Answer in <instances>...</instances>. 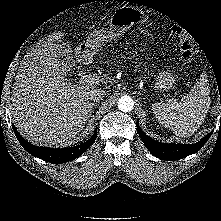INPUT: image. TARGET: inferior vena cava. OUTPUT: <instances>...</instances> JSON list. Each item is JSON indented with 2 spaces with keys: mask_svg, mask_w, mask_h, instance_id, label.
<instances>
[{
  "mask_svg": "<svg viewBox=\"0 0 221 221\" xmlns=\"http://www.w3.org/2000/svg\"><path fill=\"white\" fill-rule=\"evenodd\" d=\"M106 92L102 89H92L89 92V98L93 101H101L105 97Z\"/></svg>",
  "mask_w": 221,
  "mask_h": 221,
  "instance_id": "obj_1",
  "label": "inferior vena cava"
}]
</instances>
